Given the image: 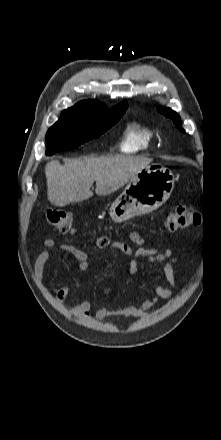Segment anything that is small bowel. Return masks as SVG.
<instances>
[{"mask_svg":"<svg viewBox=\"0 0 221 440\" xmlns=\"http://www.w3.org/2000/svg\"><path fill=\"white\" fill-rule=\"evenodd\" d=\"M129 238L132 242L142 245L145 240L136 231L130 233ZM45 249L37 256L35 260V274L37 279H42L45 266L50 259V250L57 246L53 239H46L44 241ZM112 249L118 250L128 260V274L134 276L138 272V260L145 258L148 264H163V273L168 287H164L157 281L152 280L155 290V296L150 299L141 301L138 305L129 306L119 310H110L108 306L100 307L94 314L96 319H104L109 316H121L125 318L143 317L148 310L154 308L159 299H169L173 296L174 288L176 287V277L174 273V266L179 262V258L173 255L170 248L164 251H159L155 248L139 247L133 249L130 245L124 242H115L110 246ZM60 248L68 255L76 259L77 266L80 270H87L90 267L89 255L74 246L61 245ZM70 293L68 286L60 288L56 293V298L60 303H64ZM67 308L75 312L77 315L90 317L91 303L84 301L76 305H68Z\"/></svg>","mask_w":221,"mask_h":440,"instance_id":"1","label":"small bowel"}]
</instances>
